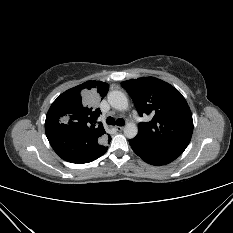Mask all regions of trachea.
Here are the masks:
<instances>
[{"instance_id": "obj_1", "label": "trachea", "mask_w": 233, "mask_h": 233, "mask_svg": "<svg viewBox=\"0 0 233 233\" xmlns=\"http://www.w3.org/2000/svg\"><path fill=\"white\" fill-rule=\"evenodd\" d=\"M106 123L108 125H117V126H123L125 124V121L123 118H118L116 121L113 117H108L106 119Z\"/></svg>"}]
</instances>
